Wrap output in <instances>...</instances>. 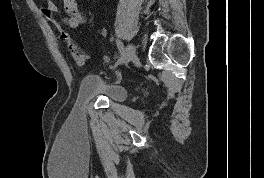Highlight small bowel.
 Masks as SVG:
<instances>
[{
	"mask_svg": "<svg viewBox=\"0 0 264 178\" xmlns=\"http://www.w3.org/2000/svg\"><path fill=\"white\" fill-rule=\"evenodd\" d=\"M44 7L52 14H59L61 11L59 7L52 0H43ZM63 15L62 21L70 28H78L85 24L87 16L79 10L76 0H62Z\"/></svg>",
	"mask_w": 264,
	"mask_h": 178,
	"instance_id": "small-bowel-1",
	"label": "small bowel"
}]
</instances>
